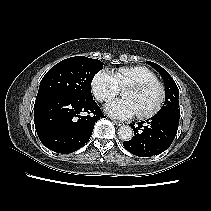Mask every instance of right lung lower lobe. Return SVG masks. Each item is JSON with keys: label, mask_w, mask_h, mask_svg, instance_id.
<instances>
[{"label": "right lung lower lobe", "mask_w": 211, "mask_h": 211, "mask_svg": "<svg viewBox=\"0 0 211 211\" xmlns=\"http://www.w3.org/2000/svg\"><path fill=\"white\" fill-rule=\"evenodd\" d=\"M100 117L105 116L93 99L45 98L36 100L34 105V123L39 139L58 153H72L81 148L89 140Z\"/></svg>", "instance_id": "obj_1"}]
</instances>
